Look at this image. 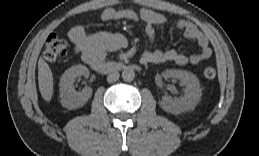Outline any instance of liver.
Listing matches in <instances>:
<instances>
[{
  "label": "liver",
  "mask_w": 259,
  "mask_h": 156,
  "mask_svg": "<svg viewBox=\"0 0 259 156\" xmlns=\"http://www.w3.org/2000/svg\"><path fill=\"white\" fill-rule=\"evenodd\" d=\"M38 85L43 99L50 102L54 86L53 74L49 65L42 58L38 60Z\"/></svg>",
  "instance_id": "1"
}]
</instances>
